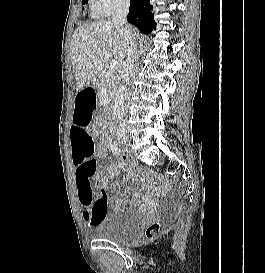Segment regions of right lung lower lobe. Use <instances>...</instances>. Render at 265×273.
<instances>
[{"label":"right lung lower lobe","mask_w":265,"mask_h":273,"mask_svg":"<svg viewBox=\"0 0 265 273\" xmlns=\"http://www.w3.org/2000/svg\"><path fill=\"white\" fill-rule=\"evenodd\" d=\"M149 0H131L127 21L142 33H150L156 28Z\"/></svg>","instance_id":"98d812e1"}]
</instances>
